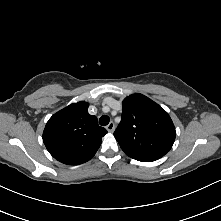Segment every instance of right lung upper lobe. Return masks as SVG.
Instances as JSON below:
<instances>
[{
    "instance_id": "right-lung-upper-lobe-1",
    "label": "right lung upper lobe",
    "mask_w": 221,
    "mask_h": 221,
    "mask_svg": "<svg viewBox=\"0 0 221 221\" xmlns=\"http://www.w3.org/2000/svg\"><path fill=\"white\" fill-rule=\"evenodd\" d=\"M85 101L70 104L47 122L43 142L49 153L68 165L89 161L96 153L107 131L88 113Z\"/></svg>"
}]
</instances>
